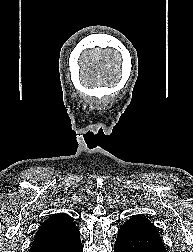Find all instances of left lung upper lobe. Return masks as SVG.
Segmentation results:
<instances>
[{
    "mask_svg": "<svg viewBox=\"0 0 193 252\" xmlns=\"http://www.w3.org/2000/svg\"><path fill=\"white\" fill-rule=\"evenodd\" d=\"M128 225H148L154 227L150 220L143 216H133L129 220H127L123 226Z\"/></svg>",
    "mask_w": 193,
    "mask_h": 252,
    "instance_id": "obj_1",
    "label": "left lung upper lobe"
}]
</instances>
